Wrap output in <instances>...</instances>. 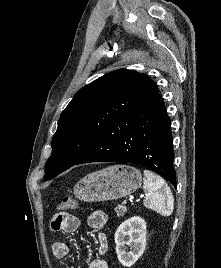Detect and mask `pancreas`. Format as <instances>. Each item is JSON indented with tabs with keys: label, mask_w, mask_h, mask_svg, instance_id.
<instances>
[{
	"label": "pancreas",
	"mask_w": 221,
	"mask_h": 268,
	"mask_svg": "<svg viewBox=\"0 0 221 268\" xmlns=\"http://www.w3.org/2000/svg\"><path fill=\"white\" fill-rule=\"evenodd\" d=\"M115 211H116L118 217H123L127 211V208L124 206L118 205L115 208Z\"/></svg>",
	"instance_id": "obj_1"
}]
</instances>
